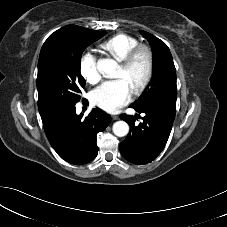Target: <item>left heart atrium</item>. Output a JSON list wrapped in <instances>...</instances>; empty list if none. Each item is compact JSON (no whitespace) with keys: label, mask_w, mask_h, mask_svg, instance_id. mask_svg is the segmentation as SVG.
<instances>
[{"label":"left heart atrium","mask_w":227,"mask_h":227,"mask_svg":"<svg viewBox=\"0 0 227 227\" xmlns=\"http://www.w3.org/2000/svg\"><path fill=\"white\" fill-rule=\"evenodd\" d=\"M131 90L121 79L103 83L91 92V102L109 113H117L130 100Z\"/></svg>","instance_id":"39dd6f15"}]
</instances>
